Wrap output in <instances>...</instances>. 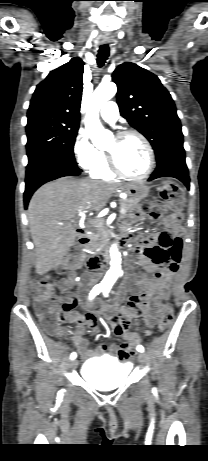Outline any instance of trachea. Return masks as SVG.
<instances>
[{"instance_id":"3493384b","label":"trachea","mask_w":208,"mask_h":461,"mask_svg":"<svg viewBox=\"0 0 208 461\" xmlns=\"http://www.w3.org/2000/svg\"><path fill=\"white\" fill-rule=\"evenodd\" d=\"M109 56V47L107 44L101 45L97 55V64L102 67Z\"/></svg>"}]
</instances>
